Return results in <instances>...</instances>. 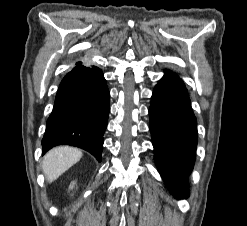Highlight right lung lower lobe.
Masks as SVG:
<instances>
[{
  "label": "right lung lower lobe",
  "mask_w": 247,
  "mask_h": 226,
  "mask_svg": "<svg viewBox=\"0 0 247 226\" xmlns=\"http://www.w3.org/2000/svg\"><path fill=\"white\" fill-rule=\"evenodd\" d=\"M109 97L102 71L76 62L57 91L42 139L43 153L65 144L82 148L101 161Z\"/></svg>",
  "instance_id": "98d812e1"
}]
</instances>
